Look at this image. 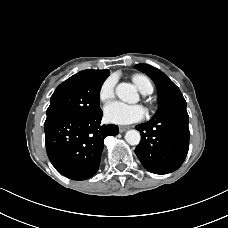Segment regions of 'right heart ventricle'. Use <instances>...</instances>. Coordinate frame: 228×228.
Returning <instances> with one entry per match:
<instances>
[{"label":"right heart ventricle","mask_w":228,"mask_h":228,"mask_svg":"<svg viewBox=\"0 0 228 228\" xmlns=\"http://www.w3.org/2000/svg\"><path fill=\"white\" fill-rule=\"evenodd\" d=\"M133 82L137 88L145 95L151 94L153 92V85L150 80L141 74H135L132 77Z\"/></svg>","instance_id":"1"}]
</instances>
